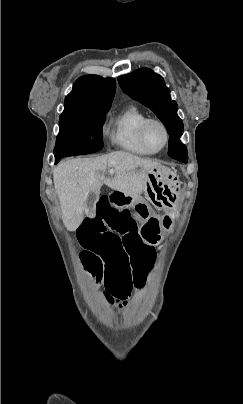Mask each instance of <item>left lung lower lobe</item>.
Returning a JSON list of instances; mask_svg holds the SVG:
<instances>
[{"instance_id": "0a47b994", "label": "left lung lower lobe", "mask_w": 243, "mask_h": 404, "mask_svg": "<svg viewBox=\"0 0 243 404\" xmlns=\"http://www.w3.org/2000/svg\"><path fill=\"white\" fill-rule=\"evenodd\" d=\"M181 162L187 163V160H180Z\"/></svg>"}]
</instances>
